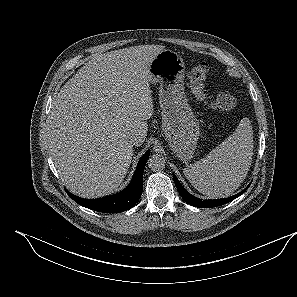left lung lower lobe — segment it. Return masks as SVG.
<instances>
[{
  "label": "left lung lower lobe",
  "mask_w": 297,
  "mask_h": 297,
  "mask_svg": "<svg viewBox=\"0 0 297 297\" xmlns=\"http://www.w3.org/2000/svg\"><path fill=\"white\" fill-rule=\"evenodd\" d=\"M173 179H174L177 190L180 193L181 197L188 204H190L192 206H195V207H199V208H211V207H216V206L226 204V203L236 199L240 195H242L248 189V187L250 186V184H249L243 191L239 192L238 194H236L234 196L228 197V198L213 199V200H201L199 198L194 197L189 192H187L186 189L180 184V182L178 181V179H177V177L175 175H173Z\"/></svg>",
  "instance_id": "0a47b994"
}]
</instances>
